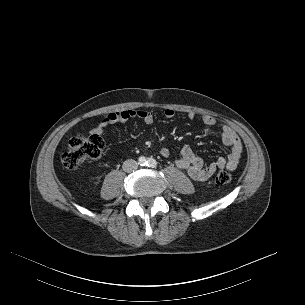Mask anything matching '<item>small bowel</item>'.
<instances>
[{
  "label": "small bowel",
  "mask_w": 305,
  "mask_h": 305,
  "mask_svg": "<svg viewBox=\"0 0 305 305\" xmlns=\"http://www.w3.org/2000/svg\"><path fill=\"white\" fill-rule=\"evenodd\" d=\"M175 115L173 109H166L164 116L172 118ZM188 120H194L196 114L193 111H189L186 114ZM132 118H138L145 124H151L154 121V114L149 110L144 109H126L111 112L107 114L97 126L92 129V133L103 134L107 127L115 123H122ZM201 121L206 126L216 125V119L208 114L201 116ZM220 135L224 144L228 145L231 149L228 158L219 157L216 160L206 163L199 158L194 151L188 147H183L179 154L175 157L174 161L178 168L187 172L190 178L196 181H206L211 178L217 170L227 168L234 170L241 159L243 153V145L236 134V132L226 124L220 126ZM161 156L167 158L170 157V150L166 147L160 149Z\"/></svg>",
  "instance_id": "1"
}]
</instances>
